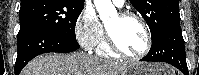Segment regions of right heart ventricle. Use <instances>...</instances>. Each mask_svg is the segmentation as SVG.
<instances>
[{
	"label": "right heart ventricle",
	"mask_w": 199,
	"mask_h": 75,
	"mask_svg": "<svg viewBox=\"0 0 199 75\" xmlns=\"http://www.w3.org/2000/svg\"><path fill=\"white\" fill-rule=\"evenodd\" d=\"M96 51L99 55L103 57L110 58V57L115 56L114 52L109 47L108 43L104 40L98 45Z\"/></svg>",
	"instance_id": "right-heart-ventricle-1"
}]
</instances>
